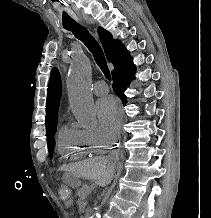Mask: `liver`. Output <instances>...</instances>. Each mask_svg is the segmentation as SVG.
Returning a JSON list of instances; mask_svg holds the SVG:
<instances>
[{
    "mask_svg": "<svg viewBox=\"0 0 211 218\" xmlns=\"http://www.w3.org/2000/svg\"><path fill=\"white\" fill-rule=\"evenodd\" d=\"M113 170V162H109L105 158H92V160H86L81 166L82 176H86L88 180H95L99 186L109 184Z\"/></svg>",
    "mask_w": 211,
    "mask_h": 218,
    "instance_id": "6515ba94",
    "label": "liver"
}]
</instances>
